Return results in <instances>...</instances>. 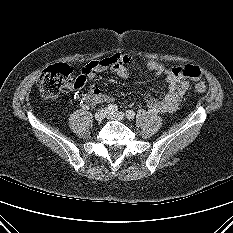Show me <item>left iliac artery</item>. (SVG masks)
Listing matches in <instances>:
<instances>
[{
  "label": "left iliac artery",
  "instance_id": "left-iliac-artery-1",
  "mask_svg": "<svg viewBox=\"0 0 233 233\" xmlns=\"http://www.w3.org/2000/svg\"><path fill=\"white\" fill-rule=\"evenodd\" d=\"M126 117L128 119H133L135 117V112L133 110L126 111Z\"/></svg>",
  "mask_w": 233,
  "mask_h": 233
}]
</instances>
